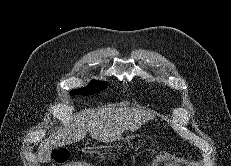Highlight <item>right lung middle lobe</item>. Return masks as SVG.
I'll use <instances>...</instances> for the list:
<instances>
[{"mask_svg":"<svg viewBox=\"0 0 231 166\" xmlns=\"http://www.w3.org/2000/svg\"><path fill=\"white\" fill-rule=\"evenodd\" d=\"M108 83L106 81H92L90 84L81 89H75L70 92V95H90L104 90Z\"/></svg>","mask_w":231,"mask_h":166,"instance_id":"obj_1","label":"right lung middle lobe"}]
</instances>
